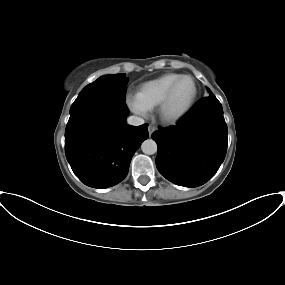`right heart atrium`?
I'll use <instances>...</instances> for the list:
<instances>
[{
	"label": "right heart atrium",
	"mask_w": 285,
	"mask_h": 285,
	"mask_svg": "<svg viewBox=\"0 0 285 285\" xmlns=\"http://www.w3.org/2000/svg\"><path fill=\"white\" fill-rule=\"evenodd\" d=\"M129 106H130L131 110L136 112V113L143 114L145 112V110L142 109L135 101H130Z\"/></svg>",
	"instance_id": "right-heart-atrium-1"
}]
</instances>
